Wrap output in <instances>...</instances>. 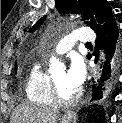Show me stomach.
Returning <instances> with one entry per match:
<instances>
[{"label": "stomach", "instance_id": "0dacf381", "mask_svg": "<svg viewBox=\"0 0 122 123\" xmlns=\"http://www.w3.org/2000/svg\"><path fill=\"white\" fill-rule=\"evenodd\" d=\"M73 120H74V116L64 115V116L60 119V123H72Z\"/></svg>", "mask_w": 122, "mask_h": 123}]
</instances>
